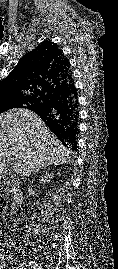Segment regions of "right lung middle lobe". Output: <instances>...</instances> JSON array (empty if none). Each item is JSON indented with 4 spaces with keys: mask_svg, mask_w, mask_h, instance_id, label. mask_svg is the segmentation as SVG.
Masks as SVG:
<instances>
[{
    "mask_svg": "<svg viewBox=\"0 0 118 269\" xmlns=\"http://www.w3.org/2000/svg\"><path fill=\"white\" fill-rule=\"evenodd\" d=\"M35 106V100L32 98H22L14 100H1L0 101V114L13 108H27Z\"/></svg>",
    "mask_w": 118,
    "mask_h": 269,
    "instance_id": "right-lung-middle-lobe-1",
    "label": "right lung middle lobe"
}]
</instances>
